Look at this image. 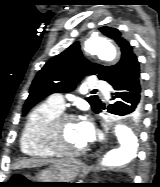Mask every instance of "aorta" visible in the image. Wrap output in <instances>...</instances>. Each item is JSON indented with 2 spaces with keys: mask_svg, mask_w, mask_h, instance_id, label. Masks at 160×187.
Listing matches in <instances>:
<instances>
[{
  "mask_svg": "<svg viewBox=\"0 0 160 187\" xmlns=\"http://www.w3.org/2000/svg\"><path fill=\"white\" fill-rule=\"evenodd\" d=\"M84 49L87 53L96 55L105 61H112L117 55L113 43L102 35H92L85 42ZM115 136L118 146L106 152L101 162L104 167L124 165L136 155L138 138L133 129L125 124H117L115 127Z\"/></svg>",
  "mask_w": 160,
  "mask_h": 187,
  "instance_id": "obj_1",
  "label": "aorta"
}]
</instances>
